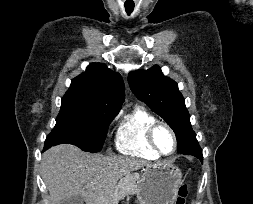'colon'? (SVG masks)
<instances>
[{"label": "colon", "instance_id": "1", "mask_svg": "<svg viewBox=\"0 0 253 204\" xmlns=\"http://www.w3.org/2000/svg\"><path fill=\"white\" fill-rule=\"evenodd\" d=\"M188 194H189V187L187 185H182L179 188L178 195L174 204H186Z\"/></svg>", "mask_w": 253, "mask_h": 204}]
</instances>
